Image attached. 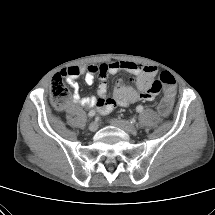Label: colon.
Segmentation results:
<instances>
[{"instance_id": "obj_1", "label": "colon", "mask_w": 215, "mask_h": 215, "mask_svg": "<svg viewBox=\"0 0 215 215\" xmlns=\"http://www.w3.org/2000/svg\"><path fill=\"white\" fill-rule=\"evenodd\" d=\"M175 79L169 72H162L160 78L154 81L151 91L158 93L161 88L165 89V95L158 104V111L161 115H168L174 103ZM69 97V90L65 86L62 75L56 74L51 81V102L56 109H63Z\"/></svg>"}]
</instances>
